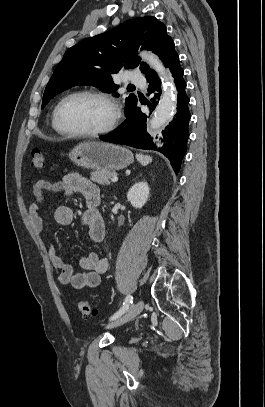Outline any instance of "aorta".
<instances>
[{"label":"aorta","instance_id":"1","mask_svg":"<svg viewBox=\"0 0 265 407\" xmlns=\"http://www.w3.org/2000/svg\"><path fill=\"white\" fill-rule=\"evenodd\" d=\"M141 56L165 81L164 93L155 109L153 117L149 121V128L155 130L166 124L175 113L177 104L176 89L173 84L172 75L156 55L143 52Z\"/></svg>","mask_w":265,"mask_h":407}]
</instances>
